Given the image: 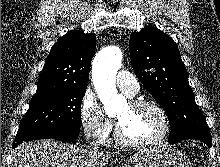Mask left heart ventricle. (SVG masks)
Returning a JSON list of instances; mask_svg holds the SVG:
<instances>
[{"label":"left heart ventricle","mask_w":220,"mask_h":167,"mask_svg":"<svg viewBox=\"0 0 220 167\" xmlns=\"http://www.w3.org/2000/svg\"><path fill=\"white\" fill-rule=\"evenodd\" d=\"M116 117L123 134L130 140L152 139L162 130L161 117L151 107L132 108L127 105Z\"/></svg>","instance_id":"obj_1"}]
</instances>
